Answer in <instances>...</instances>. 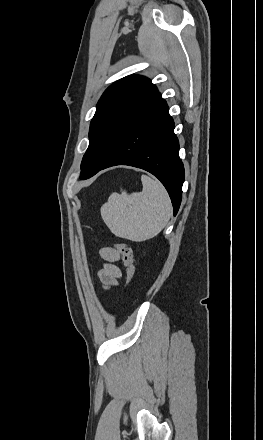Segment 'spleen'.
<instances>
[{
    "instance_id": "1",
    "label": "spleen",
    "mask_w": 263,
    "mask_h": 440,
    "mask_svg": "<svg viewBox=\"0 0 263 440\" xmlns=\"http://www.w3.org/2000/svg\"><path fill=\"white\" fill-rule=\"evenodd\" d=\"M141 192L112 193L101 207V216L118 237L141 242L155 237L167 225L172 212L164 186L147 175L141 176Z\"/></svg>"
}]
</instances>
